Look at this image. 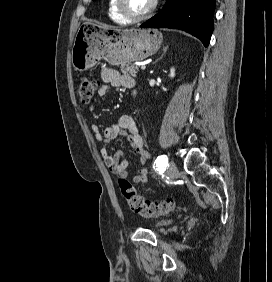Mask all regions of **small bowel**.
<instances>
[{
    "mask_svg": "<svg viewBox=\"0 0 272 282\" xmlns=\"http://www.w3.org/2000/svg\"><path fill=\"white\" fill-rule=\"evenodd\" d=\"M103 80L112 86L120 87L122 89H133L135 81L128 76L121 75L114 69L102 70ZM101 86L98 90L99 96H104L108 92V85ZM93 110V107H91ZM92 133L94 138L103 144L101 148V155L106 166L116 175L127 177L128 160L122 157L120 152L111 154L107 145L119 135L125 137L130 145L140 155V168L137 174L132 178L133 183H146L148 180V168L146 162L149 158L148 152L144 149V140L139 131L136 121L130 115H122L117 122L106 128L103 132L100 131L98 125L92 126Z\"/></svg>",
    "mask_w": 272,
    "mask_h": 282,
    "instance_id": "obj_1",
    "label": "small bowel"
}]
</instances>
